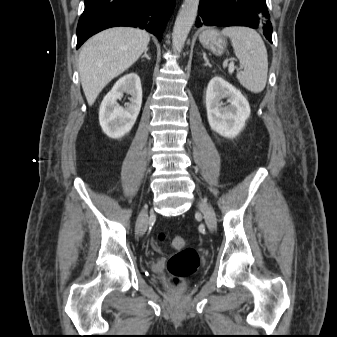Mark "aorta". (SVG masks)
<instances>
[{"instance_id": "obj_1", "label": "aorta", "mask_w": 337, "mask_h": 337, "mask_svg": "<svg viewBox=\"0 0 337 337\" xmlns=\"http://www.w3.org/2000/svg\"><path fill=\"white\" fill-rule=\"evenodd\" d=\"M199 0H184L177 15L173 33L172 47L175 52H180L185 44L187 36L195 22Z\"/></svg>"}]
</instances>
